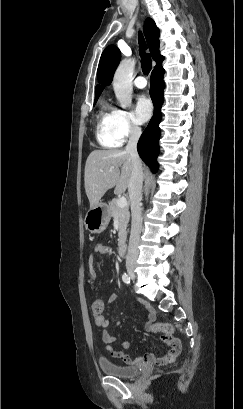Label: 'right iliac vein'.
<instances>
[{
	"label": "right iliac vein",
	"instance_id": "right-iliac-vein-1",
	"mask_svg": "<svg viewBox=\"0 0 243 409\" xmlns=\"http://www.w3.org/2000/svg\"><path fill=\"white\" fill-rule=\"evenodd\" d=\"M127 272L132 279H135V272H134L133 267H127Z\"/></svg>",
	"mask_w": 243,
	"mask_h": 409
}]
</instances>
